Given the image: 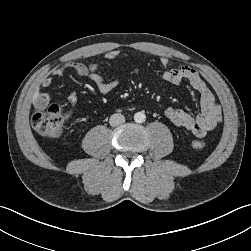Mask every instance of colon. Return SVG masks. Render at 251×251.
Instances as JSON below:
<instances>
[{
  "mask_svg": "<svg viewBox=\"0 0 251 251\" xmlns=\"http://www.w3.org/2000/svg\"><path fill=\"white\" fill-rule=\"evenodd\" d=\"M68 114L64 112L59 104H51L45 108L37 109L32 116V126L36 132L44 137H59L64 129L65 120ZM193 147L197 149L205 148L204 141L195 140L192 142Z\"/></svg>",
  "mask_w": 251,
  "mask_h": 251,
  "instance_id": "5ec220e1",
  "label": "colon"
}]
</instances>
